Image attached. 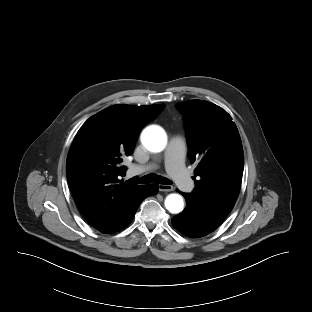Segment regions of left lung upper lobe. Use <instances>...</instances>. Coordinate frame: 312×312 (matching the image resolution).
Here are the masks:
<instances>
[{
  "instance_id": "left-lung-upper-lobe-1",
  "label": "left lung upper lobe",
  "mask_w": 312,
  "mask_h": 312,
  "mask_svg": "<svg viewBox=\"0 0 312 312\" xmlns=\"http://www.w3.org/2000/svg\"><path fill=\"white\" fill-rule=\"evenodd\" d=\"M183 114L195 189L188 194L196 202L228 215L240 192L244 169L241 138L231 116L221 107L202 100L176 104Z\"/></svg>"
}]
</instances>
